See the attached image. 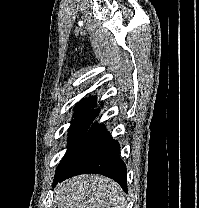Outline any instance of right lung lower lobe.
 <instances>
[{
  "label": "right lung lower lobe",
  "instance_id": "98d812e1",
  "mask_svg": "<svg viewBox=\"0 0 199 208\" xmlns=\"http://www.w3.org/2000/svg\"><path fill=\"white\" fill-rule=\"evenodd\" d=\"M120 145L104 125L95 124L85 134L73 159L56 174L53 186L83 173H97L112 178L127 192L126 165L119 157Z\"/></svg>",
  "mask_w": 199,
  "mask_h": 208
}]
</instances>
